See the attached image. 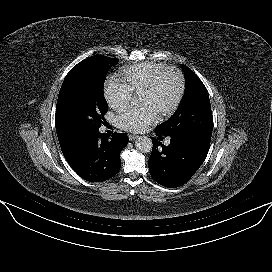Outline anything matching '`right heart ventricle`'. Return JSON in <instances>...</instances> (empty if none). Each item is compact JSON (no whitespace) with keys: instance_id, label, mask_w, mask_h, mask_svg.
<instances>
[{"instance_id":"1","label":"right heart ventricle","mask_w":272,"mask_h":272,"mask_svg":"<svg viewBox=\"0 0 272 272\" xmlns=\"http://www.w3.org/2000/svg\"><path fill=\"white\" fill-rule=\"evenodd\" d=\"M165 66L161 62L143 60L126 66L120 76L132 91L140 92Z\"/></svg>"}]
</instances>
